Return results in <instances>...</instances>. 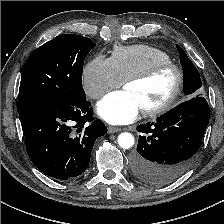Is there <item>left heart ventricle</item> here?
I'll return each instance as SVG.
<instances>
[{"instance_id": "left-heart-ventricle-1", "label": "left heart ventricle", "mask_w": 224, "mask_h": 224, "mask_svg": "<svg viewBox=\"0 0 224 224\" xmlns=\"http://www.w3.org/2000/svg\"><path fill=\"white\" fill-rule=\"evenodd\" d=\"M175 79L172 70H164L147 81L127 84L125 90L137 97L143 110L166 100L174 88Z\"/></svg>"}]
</instances>
